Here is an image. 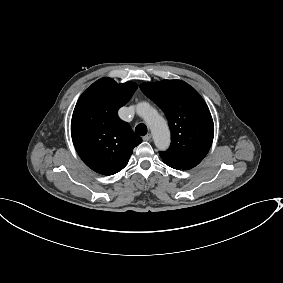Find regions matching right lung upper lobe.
I'll use <instances>...</instances> for the list:
<instances>
[{
    "instance_id": "obj_1",
    "label": "right lung upper lobe",
    "mask_w": 283,
    "mask_h": 283,
    "mask_svg": "<svg viewBox=\"0 0 283 283\" xmlns=\"http://www.w3.org/2000/svg\"><path fill=\"white\" fill-rule=\"evenodd\" d=\"M136 89L133 82L117 84L105 77L77 101L71 121L73 144L84 163L97 173L113 175L122 170L133 148L142 142L117 115Z\"/></svg>"
}]
</instances>
